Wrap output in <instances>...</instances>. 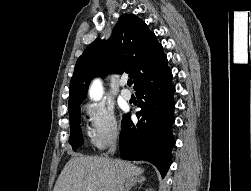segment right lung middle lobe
<instances>
[{
  "label": "right lung middle lobe",
  "instance_id": "1",
  "mask_svg": "<svg viewBox=\"0 0 251 191\" xmlns=\"http://www.w3.org/2000/svg\"><path fill=\"white\" fill-rule=\"evenodd\" d=\"M125 116L126 115H124L123 119L125 118ZM69 117L71 128L69 143L72 145L73 150L76 151L77 148L80 147L84 142L80 129V107H69Z\"/></svg>",
  "mask_w": 251,
  "mask_h": 191
}]
</instances>
